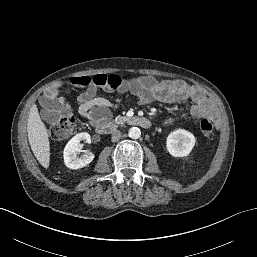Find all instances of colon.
<instances>
[{
	"label": "colon",
	"mask_w": 257,
	"mask_h": 257,
	"mask_svg": "<svg viewBox=\"0 0 257 257\" xmlns=\"http://www.w3.org/2000/svg\"><path fill=\"white\" fill-rule=\"evenodd\" d=\"M71 80L78 85H85L88 80L82 77H73ZM80 129L77 120L66 109L62 111L60 118L49 127V136L53 140L62 141L76 134ZM200 130L207 139L214 138V126L212 122L204 118L200 122Z\"/></svg>",
	"instance_id": "1"
}]
</instances>
